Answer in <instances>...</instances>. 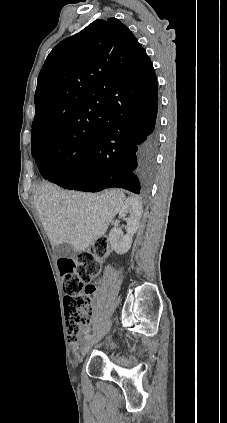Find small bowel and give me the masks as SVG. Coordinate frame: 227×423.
I'll return each instance as SVG.
<instances>
[{"label": "small bowel", "mask_w": 227, "mask_h": 423, "mask_svg": "<svg viewBox=\"0 0 227 423\" xmlns=\"http://www.w3.org/2000/svg\"><path fill=\"white\" fill-rule=\"evenodd\" d=\"M78 344H79L78 340L72 343L73 350H76L78 348Z\"/></svg>", "instance_id": "obj_1"}]
</instances>
